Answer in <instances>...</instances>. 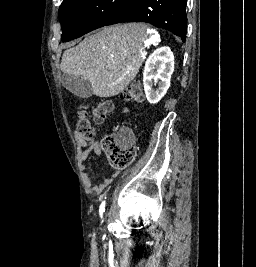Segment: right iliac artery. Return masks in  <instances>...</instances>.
<instances>
[{"label":"right iliac artery","mask_w":256,"mask_h":267,"mask_svg":"<svg viewBox=\"0 0 256 267\" xmlns=\"http://www.w3.org/2000/svg\"><path fill=\"white\" fill-rule=\"evenodd\" d=\"M104 212H105V201H103L102 204L100 205L99 213L101 217Z\"/></svg>","instance_id":"obj_1"}]
</instances>
